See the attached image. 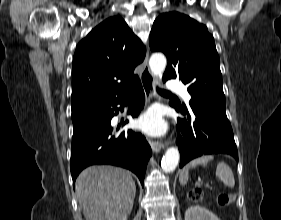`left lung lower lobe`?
Here are the masks:
<instances>
[{
    "instance_id": "0a47b994",
    "label": "left lung lower lobe",
    "mask_w": 281,
    "mask_h": 220,
    "mask_svg": "<svg viewBox=\"0 0 281 220\" xmlns=\"http://www.w3.org/2000/svg\"><path fill=\"white\" fill-rule=\"evenodd\" d=\"M179 110L187 116L185 119H177L180 167L194 158L215 153L228 154L238 160L237 147L225 106L207 103L191 106L190 112L182 106H179Z\"/></svg>"
}]
</instances>
